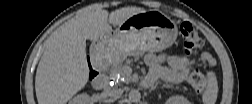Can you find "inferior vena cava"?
Here are the masks:
<instances>
[{
  "label": "inferior vena cava",
  "mask_w": 252,
  "mask_h": 104,
  "mask_svg": "<svg viewBox=\"0 0 252 104\" xmlns=\"http://www.w3.org/2000/svg\"><path fill=\"white\" fill-rule=\"evenodd\" d=\"M122 95V90L121 89H114L108 92V96H110L111 98H113L114 100H117L118 98H120Z\"/></svg>",
  "instance_id": "602c4592"
}]
</instances>
